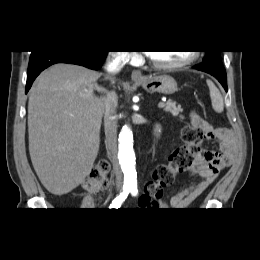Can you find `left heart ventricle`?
<instances>
[{
    "label": "left heart ventricle",
    "mask_w": 260,
    "mask_h": 260,
    "mask_svg": "<svg viewBox=\"0 0 260 260\" xmlns=\"http://www.w3.org/2000/svg\"><path fill=\"white\" fill-rule=\"evenodd\" d=\"M151 57L160 63H174L187 58L190 52L186 51H154Z\"/></svg>",
    "instance_id": "obj_1"
}]
</instances>
